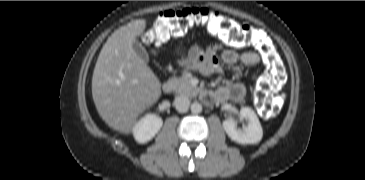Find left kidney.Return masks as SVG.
<instances>
[{
    "mask_svg": "<svg viewBox=\"0 0 365 180\" xmlns=\"http://www.w3.org/2000/svg\"><path fill=\"white\" fill-rule=\"evenodd\" d=\"M239 114L241 119L248 121V124L238 128L235 120H224L223 128L227 135L239 144H255L260 142L263 130L255 112L249 107H242Z\"/></svg>",
    "mask_w": 365,
    "mask_h": 180,
    "instance_id": "5707ae66",
    "label": "left kidney"
}]
</instances>
